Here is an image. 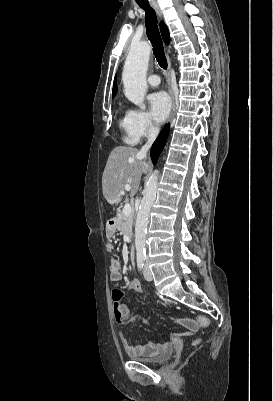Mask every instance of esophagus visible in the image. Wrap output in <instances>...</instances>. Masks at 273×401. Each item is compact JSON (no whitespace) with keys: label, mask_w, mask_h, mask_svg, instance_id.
<instances>
[{"label":"esophagus","mask_w":273,"mask_h":401,"mask_svg":"<svg viewBox=\"0 0 273 401\" xmlns=\"http://www.w3.org/2000/svg\"><path fill=\"white\" fill-rule=\"evenodd\" d=\"M152 7L156 11L158 16L162 17V11H161L158 3L152 4ZM167 63H168V66H167V71H166V79H167V83H168L169 95L171 97V102H172L171 113H170V121H172L174 114H175V95H174V92H173L172 86H171V62H170V58L168 55H167Z\"/></svg>","instance_id":"34e87169"}]
</instances>
